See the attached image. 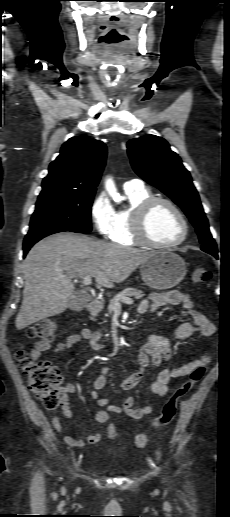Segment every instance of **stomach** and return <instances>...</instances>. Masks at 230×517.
<instances>
[{
  "label": "stomach",
  "instance_id": "0dacf381",
  "mask_svg": "<svg viewBox=\"0 0 230 517\" xmlns=\"http://www.w3.org/2000/svg\"><path fill=\"white\" fill-rule=\"evenodd\" d=\"M187 272L184 260L171 251H154L141 264L140 273L146 285L156 290H166L178 285Z\"/></svg>",
  "mask_w": 230,
  "mask_h": 517
}]
</instances>
